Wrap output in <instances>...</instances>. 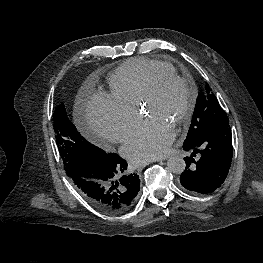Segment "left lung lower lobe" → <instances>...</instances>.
<instances>
[{
	"instance_id": "1",
	"label": "left lung lower lobe",
	"mask_w": 263,
	"mask_h": 263,
	"mask_svg": "<svg viewBox=\"0 0 263 263\" xmlns=\"http://www.w3.org/2000/svg\"><path fill=\"white\" fill-rule=\"evenodd\" d=\"M191 157H185L186 169L180 176L181 185L194 194H208L221 186L232 162V134L228 122L216 124L205 134L191 142L183 143ZM198 153L197 160L194 159Z\"/></svg>"
}]
</instances>
